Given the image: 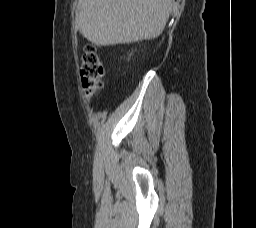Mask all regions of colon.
I'll use <instances>...</instances> for the list:
<instances>
[{
    "mask_svg": "<svg viewBox=\"0 0 256 228\" xmlns=\"http://www.w3.org/2000/svg\"><path fill=\"white\" fill-rule=\"evenodd\" d=\"M104 76L103 64L92 46H87L82 56L81 83L87 98L98 93Z\"/></svg>",
    "mask_w": 256,
    "mask_h": 228,
    "instance_id": "colon-1",
    "label": "colon"
}]
</instances>
